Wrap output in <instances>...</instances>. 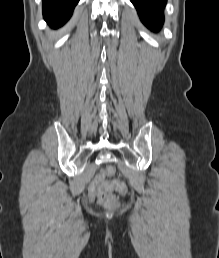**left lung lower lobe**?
I'll return each mask as SVG.
<instances>
[{
    "label": "left lung lower lobe",
    "mask_w": 219,
    "mask_h": 258,
    "mask_svg": "<svg viewBox=\"0 0 219 258\" xmlns=\"http://www.w3.org/2000/svg\"><path fill=\"white\" fill-rule=\"evenodd\" d=\"M167 0H131L141 21L150 29L158 30L164 21L163 9Z\"/></svg>",
    "instance_id": "obj_1"
}]
</instances>
